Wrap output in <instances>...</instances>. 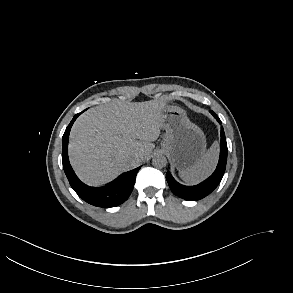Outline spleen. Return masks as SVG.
Here are the masks:
<instances>
[{
	"mask_svg": "<svg viewBox=\"0 0 293 293\" xmlns=\"http://www.w3.org/2000/svg\"><path fill=\"white\" fill-rule=\"evenodd\" d=\"M219 146L215 141L201 159L193 166L179 171L183 181L195 184L208 177L214 170L218 160Z\"/></svg>",
	"mask_w": 293,
	"mask_h": 293,
	"instance_id": "3e777b00",
	"label": "spleen"
}]
</instances>
